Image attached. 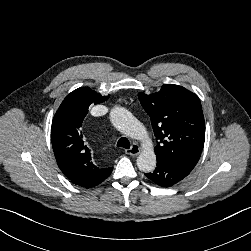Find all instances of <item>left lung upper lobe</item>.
Wrapping results in <instances>:
<instances>
[{"label": "left lung upper lobe", "instance_id": "1", "mask_svg": "<svg viewBox=\"0 0 251 251\" xmlns=\"http://www.w3.org/2000/svg\"><path fill=\"white\" fill-rule=\"evenodd\" d=\"M138 97L152 122L157 160L192 171L205 140V122L198 96L182 86L167 84L159 92L139 93Z\"/></svg>", "mask_w": 251, "mask_h": 251}]
</instances>
